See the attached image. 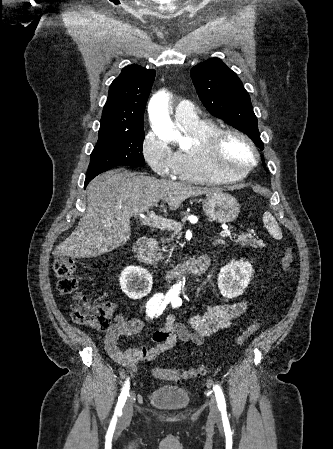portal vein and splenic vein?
Segmentation results:
<instances>
[{"label": "portal vein and splenic vein", "mask_w": 333, "mask_h": 449, "mask_svg": "<svg viewBox=\"0 0 333 449\" xmlns=\"http://www.w3.org/2000/svg\"><path fill=\"white\" fill-rule=\"evenodd\" d=\"M141 223L151 226L153 228L168 229V230H181V224L167 220L165 218L157 216L153 211H150L147 216L140 215ZM222 237L230 236V230H224L220 233Z\"/></svg>", "instance_id": "portal-vein-and-splenic-vein-1"}]
</instances>
